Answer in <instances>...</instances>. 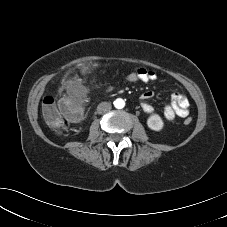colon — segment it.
I'll use <instances>...</instances> for the list:
<instances>
[{
  "label": "colon",
  "mask_w": 227,
  "mask_h": 227,
  "mask_svg": "<svg viewBox=\"0 0 227 227\" xmlns=\"http://www.w3.org/2000/svg\"><path fill=\"white\" fill-rule=\"evenodd\" d=\"M128 83H135L141 80L140 72L136 70L127 71L122 76ZM42 114L47 124L58 131L67 129L69 123L75 122L81 118V107L71 99L63 98L57 101L53 96H46L42 101ZM189 113L183 115L184 123L190 124L192 118Z\"/></svg>",
  "instance_id": "obj_1"
}]
</instances>
